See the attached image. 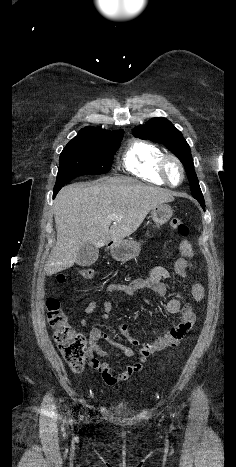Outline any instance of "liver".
Here are the masks:
<instances>
[{"instance_id":"obj_1","label":"liver","mask_w":236,"mask_h":467,"mask_svg":"<svg viewBox=\"0 0 236 467\" xmlns=\"http://www.w3.org/2000/svg\"><path fill=\"white\" fill-rule=\"evenodd\" d=\"M173 200L169 190L131 178L65 186L54 201L57 241L45 265L46 274L72 267L85 243L100 248L111 240L122 241L137 230L151 209ZM111 215L116 218L110 219Z\"/></svg>"}]
</instances>
